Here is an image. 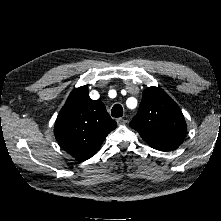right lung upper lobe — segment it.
<instances>
[{
  "instance_id": "obj_1",
  "label": "right lung upper lobe",
  "mask_w": 221,
  "mask_h": 221,
  "mask_svg": "<svg viewBox=\"0 0 221 221\" xmlns=\"http://www.w3.org/2000/svg\"><path fill=\"white\" fill-rule=\"evenodd\" d=\"M104 104L89 97L88 88L74 89L62 107L54 127L59 144L77 159L92 157L106 136L116 128Z\"/></svg>"
}]
</instances>
